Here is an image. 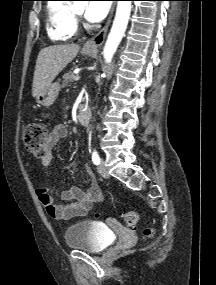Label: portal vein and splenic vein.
I'll list each match as a JSON object with an SVG mask.
<instances>
[{"label": "portal vein and splenic vein", "mask_w": 216, "mask_h": 285, "mask_svg": "<svg viewBox=\"0 0 216 285\" xmlns=\"http://www.w3.org/2000/svg\"><path fill=\"white\" fill-rule=\"evenodd\" d=\"M80 78H81L80 76L76 75V76L74 77V80H75V81H79Z\"/></svg>", "instance_id": "obj_1"}]
</instances>
